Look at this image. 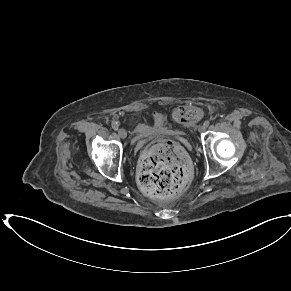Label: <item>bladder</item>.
Instances as JSON below:
<instances>
[{
  "instance_id": "31cf9c89",
  "label": "bladder",
  "mask_w": 291,
  "mask_h": 291,
  "mask_svg": "<svg viewBox=\"0 0 291 291\" xmlns=\"http://www.w3.org/2000/svg\"><path fill=\"white\" fill-rule=\"evenodd\" d=\"M169 130L166 120L162 114H157L151 124L136 127V134L139 136H149L161 134Z\"/></svg>"
}]
</instances>
